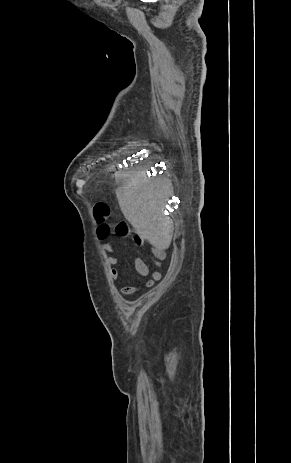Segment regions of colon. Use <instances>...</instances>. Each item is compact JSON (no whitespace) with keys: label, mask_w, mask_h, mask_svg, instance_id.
<instances>
[{"label":"colon","mask_w":291,"mask_h":463,"mask_svg":"<svg viewBox=\"0 0 291 463\" xmlns=\"http://www.w3.org/2000/svg\"><path fill=\"white\" fill-rule=\"evenodd\" d=\"M93 215L97 223V236L103 240H110L111 234L115 232L123 238H131L136 243L138 237L135 235L132 226L126 221H120L116 225L108 222L111 215V208L107 203H96L93 208Z\"/></svg>","instance_id":"colon-1"}]
</instances>
